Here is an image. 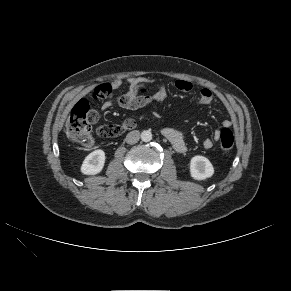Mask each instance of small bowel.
<instances>
[{"mask_svg":"<svg viewBox=\"0 0 291 291\" xmlns=\"http://www.w3.org/2000/svg\"><path fill=\"white\" fill-rule=\"evenodd\" d=\"M152 80L145 77H132L127 80L128 90L126 93L117 96L115 99L112 97L114 91H116L121 85V79H115L111 83L101 84L98 87L106 89V96L108 97L101 105L102 110L110 109L114 103L119 107L127 110H137L150 104L151 102H161L166 96V89L164 86H159L153 95H147L140 92V85L144 83H150ZM174 86L182 92H189L192 90L193 85L190 81L185 79H177ZM214 99L213 93L208 88H202L197 99V105H209ZM98 118V115H97ZM223 127L228 128L231 126V121L226 119L223 121ZM162 134L169 140L173 148L183 153L187 150V145L184 140L183 133L175 127H165L162 129ZM220 131H216L214 134V140H218ZM213 146V139H205L203 141V147L210 149Z\"/></svg>","mask_w":291,"mask_h":291,"instance_id":"obj_1","label":"small bowel"}]
</instances>
